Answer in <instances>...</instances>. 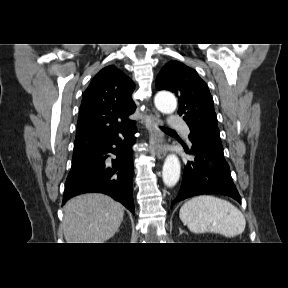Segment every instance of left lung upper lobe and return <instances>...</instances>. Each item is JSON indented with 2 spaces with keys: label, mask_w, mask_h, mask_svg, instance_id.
<instances>
[{
  "label": "left lung upper lobe",
  "mask_w": 288,
  "mask_h": 288,
  "mask_svg": "<svg viewBox=\"0 0 288 288\" xmlns=\"http://www.w3.org/2000/svg\"><path fill=\"white\" fill-rule=\"evenodd\" d=\"M156 87L178 96V114L183 116L190 128V140H201L223 152L213 98L194 69L172 60L160 71Z\"/></svg>",
  "instance_id": "5c2ea615"
}]
</instances>
